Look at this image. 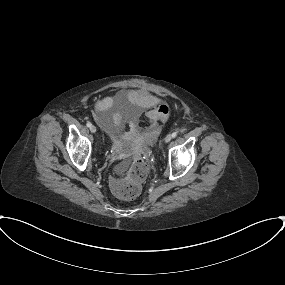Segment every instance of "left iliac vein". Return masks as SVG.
I'll return each mask as SVG.
<instances>
[{
  "label": "left iliac vein",
  "instance_id": "1",
  "mask_svg": "<svg viewBox=\"0 0 285 285\" xmlns=\"http://www.w3.org/2000/svg\"><path fill=\"white\" fill-rule=\"evenodd\" d=\"M171 139H172V135H171V134H168V135L165 137L164 141H165V143H169V142L171 141Z\"/></svg>",
  "mask_w": 285,
  "mask_h": 285
}]
</instances>
